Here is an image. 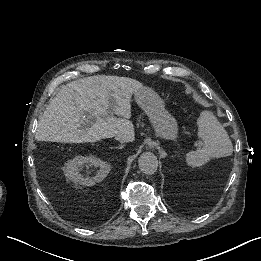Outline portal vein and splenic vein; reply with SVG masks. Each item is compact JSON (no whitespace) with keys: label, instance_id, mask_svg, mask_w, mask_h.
Here are the masks:
<instances>
[{"label":"portal vein and splenic vein","instance_id":"1","mask_svg":"<svg viewBox=\"0 0 261 261\" xmlns=\"http://www.w3.org/2000/svg\"><path fill=\"white\" fill-rule=\"evenodd\" d=\"M109 115H110V116H114V113H110ZM86 125H87V126H90V125H92V123H91V122H88V123H86Z\"/></svg>","mask_w":261,"mask_h":261}]
</instances>
